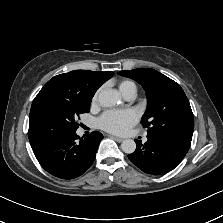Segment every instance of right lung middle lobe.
I'll list each match as a JSON object with an SVG mask.
<instances>
[{"label":"right lung middle lobe","mask_w":223,"mask_h":223,"mask_svg":"<svg viewBox=\"0 0 223 223\" xmlns=\"http://www.w3.org/2000/svg\"><path fill=\"white\" fill-rule=\"evenodd\" d=\"M91 101H79L52 91H40L32 102L28 137L31 146L76 132L75 119L90 111Z\"/></svg>","instance_id":"dd1d6c3e"}]
</instances>
